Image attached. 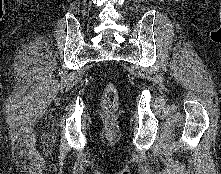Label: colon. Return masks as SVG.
<instances>
[{
    "label": "colon",
    "instance_id": "1",
    "mask_svg": "<svg viewBox=\"0 0 221 174\" xmlns=\"http://www.w3.org/2000/svg\"><path fill=\"white\" fill-rule=\"evenodd\" d=\"M119 95L116 85L112 82L106 84L102 96V108L106 114L112 115L118 108Z\"/></svg>",
    "mask_w": 221,
    "mask_h": 174
}]
</instances>
